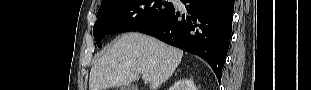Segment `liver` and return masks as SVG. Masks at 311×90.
I'll list each match as a JSON object with an SVG mask.
<instances>
[{"mask_svg":"<svg viewBox=\"0 0 311 90\" xmlns=\"http://www.w3.org/2000/svg\"><path fill=\"white\" fill-rule=\"evenodd\" d=\"M183 51L153 37L127 33L92 66L89 90H107L137 81L140 74L151 78L150 90H158L181 63Z\"/></svg>","mask_w":311,"mask_h":90,"instance_id":"liver-1","label":"liver"}]
</instances>
